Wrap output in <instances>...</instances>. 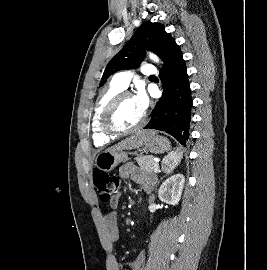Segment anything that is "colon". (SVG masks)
<instances>
[{
  "mask_svg": "<svg viewBox=\"0 0 267 270\" xmlns=\"http://www.w3.org/2000/svg\"><path fill=\"white\" fill-rule=\"evenodd\" d=\"M93 183L101 202H110L120 190V180L115 175L97 170L93 174Z\"/></svg>",
  "mask_w": 267,
  "mask_h": 270,
  "instance_id": "colon-1",
  "label": "colon"
}]
</instances>
